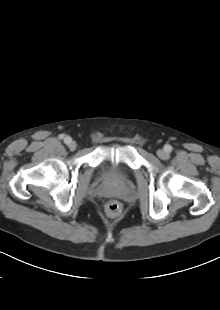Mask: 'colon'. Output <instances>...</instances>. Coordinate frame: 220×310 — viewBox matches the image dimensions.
I'll return each mask as SVG.
<instances>
[{"label":"colon","instance_id":"1","mask_svg":"<svg viewBox=\"0 0 220 310\" xmlns=\"http://www.w3.org/2000/svg\"><path fill=\"white\" fill-rule=\"evenodd\" d=\"M106 210L109 215L117 216L120 214L122 208L121 205L116 201H110L106 205Z\"/></svg>","mask_w":220,"mask_h":310}]
</instances>
